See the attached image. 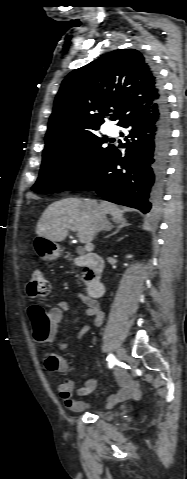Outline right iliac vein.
Masks as SVG:
<instances>
[{"label": "right iliac vein", "mask_w": 187, "mask_h": 479, "mask_svg": "<svg viewBox=\"0 0 187 479\" xmlns=\"http://www.w3.org/2000/svg\"><path fill=\"white\" fill-rule=\"evenodd\" d=\"M116 353L120 360H123L126 357V351L122 347H118Z\"/></svg>", "instance_id": "63e3f726"}]
</instances>
